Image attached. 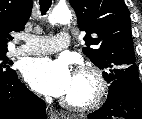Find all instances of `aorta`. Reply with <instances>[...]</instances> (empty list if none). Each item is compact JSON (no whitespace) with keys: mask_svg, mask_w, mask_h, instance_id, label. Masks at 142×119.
Here are the masks:
<instances>
[{"mask_svg":"<svg viewBox=\"0 0 142 119\" xmlns=\"http://www.w3.org/2000/svg\"><path fill=\"white\" fill-rule=\"evenodd\" d=\"M72 18L71 11L68 7H56L48 16L51 25L67 23Z\"/></svg>","mask_w":142,"mask_h":119,"instance_id":"1","label":"aorta"}]
</instances>
